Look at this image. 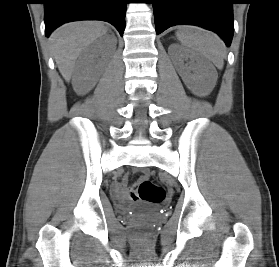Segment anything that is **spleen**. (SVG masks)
<instances>
[{
	"instance_id": "spleen-1",
	"label": "spleen",
	"mask_w": 279,
	"mask_h": 267,
	"mask_svg": "<svg viewBox=\"0 0 279 267\" xmlns=\"http://www.w3.org/2000/svg\"><path fill=\"white\" fill-rule=\"evenodd\" d=\"M180 43L198 52L204 59L222 69L226 55L223 41L214 33L197 27H180L176 32Z\"/></svg>"
}]
</instances>
